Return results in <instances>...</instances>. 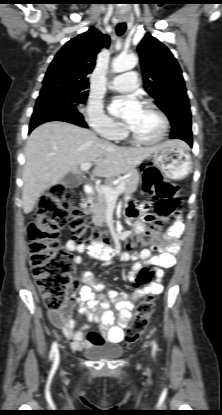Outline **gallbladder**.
Returning <instances> with one entry per match:
<instances>
[{"label":"gallbladder","mask_w":222,"mask_h":415,"mask_svg":"<svg viewBox=\"0 0 222 415\" xmlns=\"http://www.w3.org/2000/svg\"><path fill=\"white\" fill-rule=\"evenodd\" d=\"M61 184L67 188H76L82 184V181L75 174L67 173L61 181Z\"/></svg>","instance_id":"1"}]
</instances>
